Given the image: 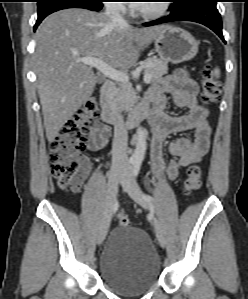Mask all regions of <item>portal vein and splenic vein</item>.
I'll return each mask as SVG.
<instances>
[{
    "label": "portal vein and splenic vein",
    "mask_w": 248,
    "mask_h": 299,
    "mask_svg": "<svg viewBox=\"0 0 248 299\" xmlns=\"http://www.w3.org/2000/svg\"><path fill=\"white\" fill-rule=\"evenodd\" d=\"M79 62L98 69L106 77L121 82L128 83L129 77L126 73L116 70L105 63L103 60L95 57H83L79 59ZM151 81V76L148 73L144 74V82L149 83Z\"/></svg>",
    "instance_id": "portal-vein-and-splenic-vein-1"
}]
</instances>
